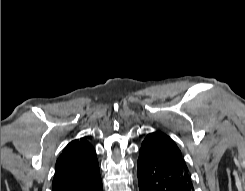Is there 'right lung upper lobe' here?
<instances>
[{"label":"right lung upper lobe","mask_w":245,"mask_h":191,"mask_svg":"<svg viewBox=\"0 0 245 191\" xmlns=\"http://www.w3.org/2000/svg\"><path fill=\"white\" fill-rule=\"evenodd\" d=\"M98 166L96 152L85 139L71 141L56 162L52 183L53 191L60 186L81 178Z\"/></svg>","instance_id":"1"}]
</instances>
